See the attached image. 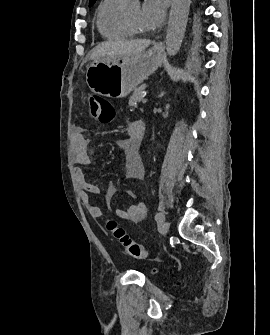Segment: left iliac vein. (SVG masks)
<instances>
[{
	"label": "left iliac vein",
	"instance_id": "4c4485c4",
	"mask_svg": "<svg viewBox=\"0 0 270 335\" xmlns=\"http://www.w3.org/2000/svg\"><path fill=\"white\" fill-rule=\"evenodd\" d=\"M170 223L168 221L164 222L161 228L162 235H166L169 231Z\"/></svg>",
	"mask_w": 270,
	"mask_h": 335
}]
</instances>
